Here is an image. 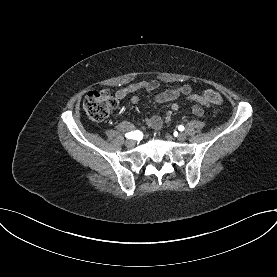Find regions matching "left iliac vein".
I'll return each mask as SVG.
<instances>
[{"instance_id": "obj_1", "label": "left iliac vein", "mask_w": 277, "mask_h": 277, "mask_svg": "<svg viewBox=\"0 0 277 277\" xmlns=\"http://www.w3.org/2000/svg\"><path fill=\"white\" fill-rule=\"evenodd\" d=\"M177 139L179 141H184L186 139V135L184 133H179Z\"/></svg>"}]
</instances>
